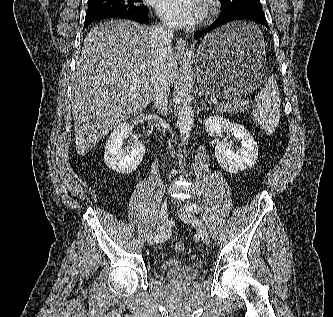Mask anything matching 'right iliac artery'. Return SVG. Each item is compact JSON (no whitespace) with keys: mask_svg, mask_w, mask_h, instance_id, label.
<instances>
[{"mask_svg":"<svg viewBox=\"0 0 333 317\" xmlns=\"http://www.w3.org/2000/svg\"><path fill=\"white\" fill-rule=\"evenodd\" d=\"M171 236V230L170 228L167 229L163 234H161L159 237H157V242L165 241Z\"/></svg>","mask_w":333,"mask_h":317,"instance_id":"obj_1","label":"right iliac artery"}]
</instances>
